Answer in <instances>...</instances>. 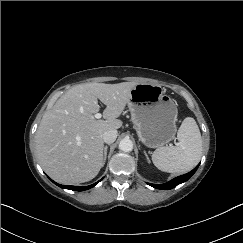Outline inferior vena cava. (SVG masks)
<instances>
[{
  "instance_id": "obj_1",
  "label": "inferior vena cava",
  "mask_w": 243,
  "mask_h": 243,
  "mask_svg": "<svg viewBox=\"0 0 243 243\" xmlns=\"http://www.w3.org/2000/svg\"><path fill=\"white\" fill-rule=\"evenodd\" d=\"M117 130H108L103 133V141L107 144L113 143L117 138Z\"/></svg>"
}]
</instances>
